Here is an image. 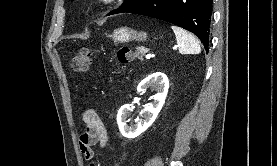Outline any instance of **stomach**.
Listing matches in <instances>:
<instances>
[{"mask_svg": "<svg viewBox=\"0 0 277 166\" xmlns=\"http://www.w3.org/2000/svg\"><path fill=\"white\" fill-rule=\"evenodd\" d=\"M109 37L118 43H128L134 40L145 41L147 39V33L136 31L129 27H120L115 29Z\"/></svg>", "mask_w": 277, "mask_h": 166, "instance_id": "obj_1", "label": "stomach"}]
</instances>
